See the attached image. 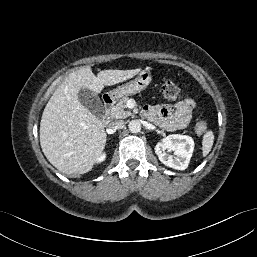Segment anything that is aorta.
<instances>
[{"label": "aorta", "mask_w": 257, "mask_h": 257, "mask_svg": "<svg viewBox=\"0 0 257 257\" xmlns=\"http://www.w3.org/2000/svg\"><path fill=\"white\" fill-rule=\"evenodd\" d=\"M129 130L132 133H138L141 130V123L138 120H132L129 122Z\"/></svg>", "instance_id": "1"}]
</instances>
